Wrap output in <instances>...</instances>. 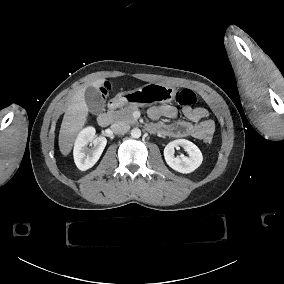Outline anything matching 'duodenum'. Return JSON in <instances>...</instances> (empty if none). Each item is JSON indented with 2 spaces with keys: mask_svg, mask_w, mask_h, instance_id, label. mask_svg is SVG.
Returning <instances> with one entry per match:
<instances>
[{
  "mask_svg": "<svg viewBox=\"0 0 284 284\" xmlns=\"http://www.w3.org/2000/svg\"><path fill=\"white\" fill-rule=\"evenodd\" d=\"M123 102H124L123 99H120V98L112 99L110 101V109L109 110H113V108L117 107L118 105H120ZM111 114H112V111L100 113L97 116L98 125L101 126V127H107L110 124L111 119H112Z\"/></svg>",
  "mask_w": 284,
  "mask_h": 284,
  "instance_id": "duodenum-1",
  "label": "duodenum"
}]
</instances>
